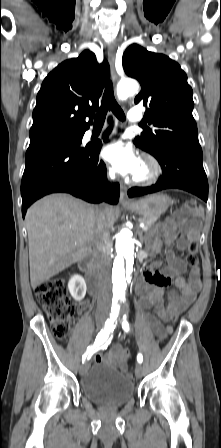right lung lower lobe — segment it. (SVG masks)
Returning a JSON list of instances; mask_svg holds the SVG:
<instances>
[{
	"label": "right lung lower lobe",
	"instance_id": "98d812e1",
	"mask_svg": "<svg viewBox=\"0 0 221 448\" xmlns=\"http://www.w3.org/2000/svg\"><path fill=\"white\" fill-rule=\"evenodd\" d=\"M81 142L61 139L27 149L21 182L23 218L34 201L55 192L91 203L118 202L119 185L108 184L105 164L98 158L101 146L83 148Z\"/></svg>",
	"mask_w": 221,
	"mask_h": 448
}]
</instances>
